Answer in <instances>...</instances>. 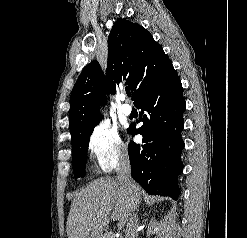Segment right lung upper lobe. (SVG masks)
I'll return each instance as SVG.
<instances>
[{
	"mask_svg": "<svg viewBox=\"0 0 247 238\" xmlns=\"http://www.w3.org/2000/svg\"><path fill=\"white\" fill-rule=\"evenodd\" d=\"M171 67L162 47L144 27L118 19L108 37L106 75L99 63L92 61L73 87L69 115L72 145L102 119L98 107L106 103V93L114 94L116 87L125 83L132 90L135 103Z\"/></svg>",
	"mask_w": 247,
	"mask_h": 238,
	"instance_id": "right-lung-upper-lobe-1",
	"label": "right lung upper lobe"
}]
</instances>
